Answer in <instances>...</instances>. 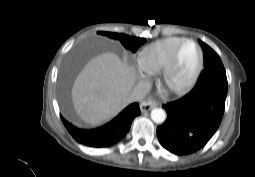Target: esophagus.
<instances>
[{
    "instance_id": "esophagus-1",
    "label": "esophagus",
    "mask_w": 255,
    "mask_h": 177,
    "mask_svg": "<svg viewBox=\"0 0 255 177\" xmlns=\"http://www.w3.org/2000/svg\"><path fill=\"white\" fill-rule=\"evenodd\" d=\"M156 105H157V103L154 100L148 98L141 102L140 110L142 112H146V111H149L150 109H152L153 107H155Z\"/></svg>"
}]
</instances>
